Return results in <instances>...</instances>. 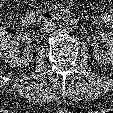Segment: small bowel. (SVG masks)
I'll list each match as a JSON object with an SVG mask.
<instances>
[{
  "mask_svg": "<svg viewBox=\"0 0 113 113\" xmlns=\"http://www.w3.org/2000/svg\"><path fill=\"white\" fill-rule=\"evenodd\" d=\"M113 4V0H110ZM101 23H103L110 32H113V14L104 13L99 17Z\"/></svg>",
  "mask_w": 113,
  "mask_h": 113,
  "instance_id": "1",
  "label": "small bowel"
}]
</instances>
